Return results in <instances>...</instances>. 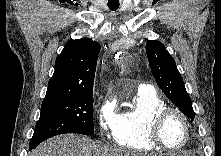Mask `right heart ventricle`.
<instances>
[{"label":"right heart ventricle","mask_w":221,"mask_h":156,"mask_svg":"<svg viewBox=\"0 0 221 156\" xmlns=\"http://www.w3.org/2000/svg\"><path fill=\"white\" fill-rule=\"evenodd\" d=\"M164 107L166 103L154 90H138L131 106L117 114L113 131L114 142L136 151L159 150L149 138V127L155 113Z\"/></svg>","instance_id":"right-heart-ventricle-1"}]
</instances>
